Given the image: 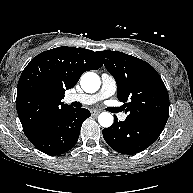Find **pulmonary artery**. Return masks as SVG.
<instances>
[{"instance_id": "e3ab8cb5", "label": "pulmonary artery", "mask_w": 193, "mask_h": 193, "mask_svg": "<svg viewBox=\"0 0 193 193\" xmlns=\"http://www.w3.org/2000/svg\"><path fill=\"white\" fill-rule=\"evenodd\" d=\"M117 85L116 80L110 74L103 73L101 75V87L100 90L95 94H70L66 97V101L71 102H79L85 105H91L98 101H101L105 98L112 96L116 91ZM120 120L126 119L125 113L119 114Z\"/></svg>"}]
</instances>
